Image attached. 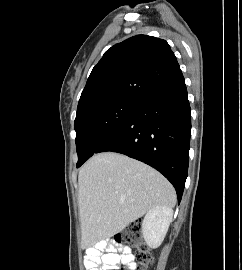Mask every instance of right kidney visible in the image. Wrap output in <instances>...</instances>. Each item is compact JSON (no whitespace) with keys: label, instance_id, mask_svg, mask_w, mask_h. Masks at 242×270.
<instances>
[{"label":"right kidney","instance_id":"1","mask_svg":"<svg viewBox=\"0 0 242 270\" xmlns=\"http://www.w3.org/2000/svg\"><path fill=\"white\" fill-rule=\"evenodd\" d=\"M173 210L156 206L150 209L142 222V233L145 242L151 248L160 246L172 221Z\"/></svg>","mask_w":242,"mask_h":270}]
</instances>
